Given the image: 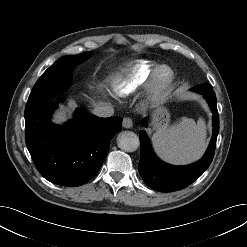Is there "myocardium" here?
Masks as SVG:
<instances>
[{
  "label": "myocardium",
  "mask_w": 247,
  "mask_h": 247,
  "mask_svg": "<svg viewBox=\"0 0 247 247\" xmlns=\"http://www.w3.org/2000/svg\"><path fill=\"white\" fill-rule=\"evenodd\" d=\"M175 80V73L168 65L158 66L149 77L146 85V97L155 101L164 95Z\"/></svg>",
  "instance_id": "myocardium-1"
}]
</instances>
